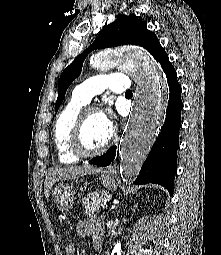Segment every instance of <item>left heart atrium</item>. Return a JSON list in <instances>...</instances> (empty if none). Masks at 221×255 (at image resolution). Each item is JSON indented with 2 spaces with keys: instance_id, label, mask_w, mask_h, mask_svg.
<instances>
[{
  "instance_id": "left-heart-atrium-1",
  "label": "left heart atrium",
  "mask_w": 221,
  "mask_h": 255,
  "mask_svg": "<svg viewBox=\"0 0 221 255\" xmlns=\"http://www.w3.org/2000/svg\"><path fill=\"white\" fill-rule=\"evenodd\" d=\"M105 121L107 122V124L110 126L111 125V121L109 120L108 116H103Z\"/></svg>"
}]
</instances>
